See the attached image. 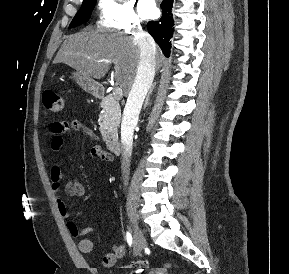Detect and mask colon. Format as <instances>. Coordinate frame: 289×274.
I'll return each instance as SVG.
<instances>
[{"label":"colon","mask_w":289,"mask_h":274,"mask_svg":"<svg viewBox=\"0 0 289 274\" xmlns=\"http://www.w3.org/2000/svg\"><path fill=\"white\" fill-rule=\"evenodd\" d=\"M42 103L44 107L53 113L60 112L65 107V98L63 95L54 91L46 90L42 94ZM136 270L140 271L146 268L145 261H138L132 265Z\"/></svg>","instance_id":"obj_1"}]
</instances>
